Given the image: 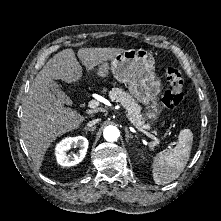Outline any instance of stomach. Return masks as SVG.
I'll return each mask as SVG.
<instances>
[{
  "mask_svg": "<svg viewBox=\"0 0 221 221\" xmlns=\"http://www.w3.org/2000/svg\"><path fill=\"white\" fill-rule=\"evenodd\" d=\"M112 72L120 83L128 85V90L137 101L146 106L145 116L151 121L159 118L161 109L158 95L161 80L155 73V59L144 49H129L106 61L96 70L99 77H106Z\"/></svg>",
  "mask_w": 221,
  "mask_h": 221,
  "instance_id": "1",
  "label": "stomach"
}]
</instances>
